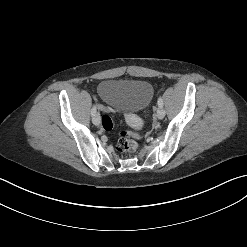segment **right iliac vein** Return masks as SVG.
<instances>
[{"label":"right iliac vein","mask_w":247,"mask_h":247,"mask_svg":"<svg viewBox=\"0 0 247 247\" xmlns=\"http://www.w3.org/2000/svg\"><path fill=\"white\" fill-rule=\"evenodd\" d=\"M92 121H93V123H94L95 125H99L100 122H101L100 114H99V113H96V114L93 116Z\"/></svg>","instance_id":"1"}]
</instances>
